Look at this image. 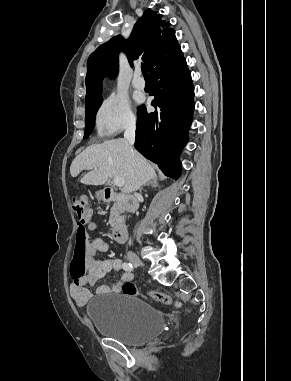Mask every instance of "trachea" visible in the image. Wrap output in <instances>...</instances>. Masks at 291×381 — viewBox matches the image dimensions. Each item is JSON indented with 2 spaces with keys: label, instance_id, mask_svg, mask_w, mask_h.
<instances>
[{
  "label": "trachea",
  "instance_id": "trachea-1",
  "mask_svg": "<svg viewBox=\"0 0 291 381\" xmlns=\"http://www.w3.org/2000/svg\"><path fill=\"white\" fill-rule=\"evenodd\" d=\"M141 69H142L143 76L144 77H149V74H148V71H147V68H146L145 64L141 65Z\"/></svg>",
  "mask_w": 291,
  "mask_h": 381
}]
</instances>
